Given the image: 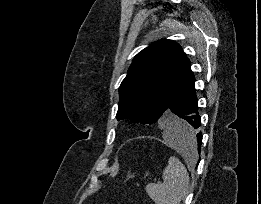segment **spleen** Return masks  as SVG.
Wrapping results in <instances>:
<instances>
[{
  "instance_id": "spleen-1",
  "label": "spleen",
  "mask_w": 261,
  "mask_h": 204,
  "mask_svg": "<svg viewBox=\"0 0 261 204\" xmlns=\"http://www.w3.org/2000/svg\"><path fill=\"white\" fill-rule=\"evenodd\" d=\"M175 120H179L174 117ZM165 143L182 153L196 152V141H178L168 131L163 132ZM163 183H150L146 192L155 204H180L189 188V175L185 166L176 157H170L168 166L163 171Z\"/></svg>"
}]
</instances>
